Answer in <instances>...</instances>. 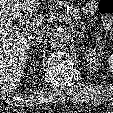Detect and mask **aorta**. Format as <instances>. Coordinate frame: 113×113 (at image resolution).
Segmentation results:
<instances>
[{"label":"aorta","instance_id":"1","mask_svg":"<svg viewBox=\"0 0 113 113\" xmlns=\"http://www.w3.org/2000/svg\"><path fill=\"white\" fill-rule=\"evenodd\" d=\"M69 42V35L65 30L57 29L50 36V44L54 48H63Z\"/></svg>","mask_w":113,"mask_h":113}]
</instances>
